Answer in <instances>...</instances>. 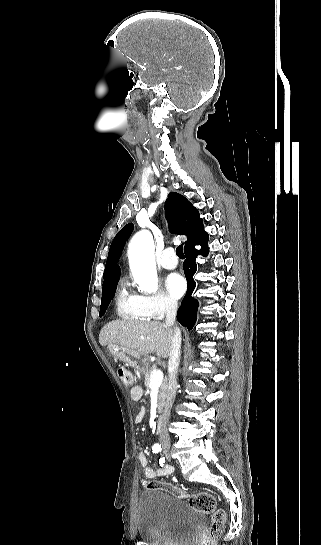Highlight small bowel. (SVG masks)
Wrapping results in <instances>:
<instances>
[{"label":"small bowel","mask_w":321,"mask_h":545,"mask_svg":"<svg viewBox=\"0 0 321 545\" xmlns=\"http://www.w3.org/2000/svg\"><path fill=\"white\" fill-rule=\"evenodd\" d=\"M131 397L134 401L139 402L142 398V390L139 387H134L131 390ZM146 414V409L144 407H141L135 416V423H140ZM139 462L142 467V472L145 478L147 479H155L158 477H163L171 474L173 472L172 466L166 465L164 467H161L159 469H153L148 463V459L146 454L141 451L139 454Z\"/></svg>","instance_id":"small-bowel-1"}]
</instances>
